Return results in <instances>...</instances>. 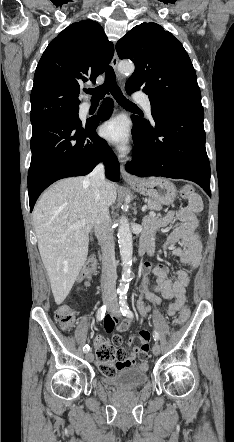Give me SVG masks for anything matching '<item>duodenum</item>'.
Returning a JSON list of instances; mask_svg holds the SVG:
<instances>
[{
    "label": "duodenum",
    "mask_w": 234,
    "mask_h": 442,
    "mask_svg": "<svg viewBox=\"0 0 234 442\" xmlns=\"http://www.w3.org/2000/svg\"><path fill=\"white\" fill-rule=\"evenodd\" d=\"M150 247V241L146 236H142L138 246V252L140 255H143L148 252Z\"/></svg>",
    "instance_id": "410a0bca"
}]
</instances>
